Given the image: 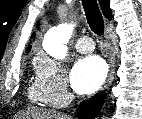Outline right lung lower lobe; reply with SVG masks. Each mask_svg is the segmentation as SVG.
Here are the masks:
<instances>
[{
    "mask_svg": "<svg viewBox=\"0 0 142 119\" xmlns=\"http://www.w3.org/2000/svg\"><path fill=\"white\" fill-rule=\"evenodd\" d=\"M105 99V94L100 92L95 96L91 97L89 101H83L79 108V118L80 119H95V117L100 113Z\"/></svg>",
    "mask_w": 142,
    "mask_h": 119,
    "instance_id": "98d812e1",
    "label": "right lung lower lobe"
}]
</instances>
